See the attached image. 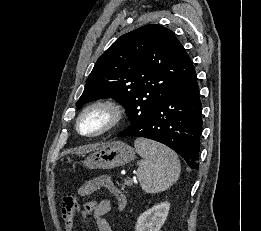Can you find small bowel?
Instances as JSON below:
<instances>
[{"label":"small bowel","instance_id":"c3829d8e","mask_svg":"<svg viewBox=\"0 0 261 231\" xmlns=\"http://www.w3.org/2000/svg\"><path fill=\"white\" fill-rule=\"evenodd\" d=\"M91 181L96 184V189L107 188L117 196L121 203H124V194L112 187V181L109 176L101 175ZM78 192L81 196L87 195L83 192V187L80 188ZM110 209L111 205L107 199L89 201L82 209V218L88 219L92 215L98 231H112L111 226L105 219V215L109 213ZM73 227V220L70 222L65 221L64 231H72Z\"/></svg>","mask_w":261,"mask_h":231}]
</instances>
